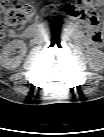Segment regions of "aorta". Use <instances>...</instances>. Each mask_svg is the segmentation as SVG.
<instances>
[{
    "label": "aorta",
    "mask_w": 104,
    "mask_h": 137,
    "mask_svg": "<svg viewBox=\"0 0 104 137\" xmlns=\"http://www.w3.org/2000/svg\"><path fill=\"white\" fill-rule=\"evenodd\" d=\"M60 36H61V37H64V32H61Z\"/></svg>",
    "instance_id": "obj_1"
}]
</instances>
